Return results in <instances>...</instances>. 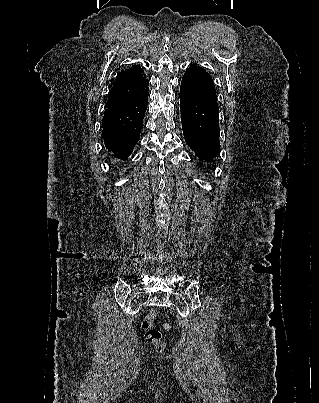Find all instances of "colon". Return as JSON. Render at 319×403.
<instances>
[{"label":"colon","mask_w":319,"mask_h":403,"mask_svg":"<svg viewBox=\"0 0 319 403\" xmlns=\"http://www.w3.org/2000/svg\"><path fill=\"white\" fill-rule=\"evenodd\" d=\"M155 317H156L155 311H151L147 314V316L143 321V328L145 330V340L148 343L153 344L158 351H162L164 349V343L162 342L161 339V333L152 326Z\"/></svg>","instance_id":"obj_1"}]
</instances>
